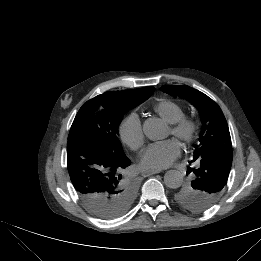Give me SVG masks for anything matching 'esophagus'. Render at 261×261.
Masks as SVG:
<instances>
[{"label": "esophagus", "mask_w": 261, "mask_h": 261, "mask_svg": "<svg viewBox=\"0 0 261 261\" xmlns=\"http://www.w3.org/2000/svg\"><path fill=\"white\" fill-rule=\"evenodd\" d=\"M159 172H160V170L143 171V172H142V175H143L144 177H148V176L157 174V173H159Z\"/></svg>", "instance_id": "1"}]
</instances>
